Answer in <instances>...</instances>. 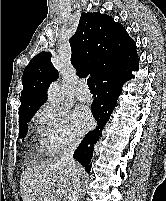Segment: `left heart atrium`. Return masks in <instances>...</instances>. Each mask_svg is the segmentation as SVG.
I'll list each match as a JSON object with an SVG mask.
<instances>
[{
	"instance_id": "left-heart-atrium-1",
	"label": "left heart atrium",
	"mask_w": 166,
	"mask_h": 201,
	"mask_svg": "<svg viewBox=\"0 0 166 201\" xmlns=\"http://www.w3.org/2000/svg\"><path fill=\"white\" fill-rule=\"evenodd\" d=\"M90 111L84 107H78L72 114V122L78 133L85 132L92 124Z\"/></svg>"
}]
</instances>
